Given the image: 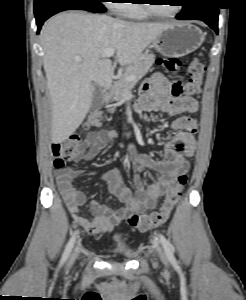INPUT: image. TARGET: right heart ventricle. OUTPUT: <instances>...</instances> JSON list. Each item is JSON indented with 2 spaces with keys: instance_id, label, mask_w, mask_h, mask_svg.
Returning <instances> with one entry per match:
<instances>
[{
  "instance_id": "1",
  "label": "right heart ventricle",
  "mask_w": 246,
  "mask_h": 300,
  "mask_svg": "<svg viewBox=\"0 0 246 300\" xmlns=\"http://www.w3.org/2000/svg\"><path fill=\"white\" fill-rule=\"evenodd\" d=\"M117 12L124 17L136 20H145L152 16L136 0H127V3L120 4Z\"/></svg>"
}]
</instances>
